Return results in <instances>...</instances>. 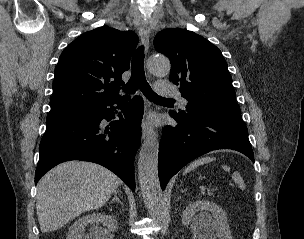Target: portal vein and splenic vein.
<instances>
[{
	"instance_id": "1",
	"label": "portal vein and splenic vein",
	"mask_w": 304,
	"mask_h": 239,
	"mask_svg": "<svg viewBox=\"0 0 304 239\" xmlns=\"http://www.w3.org/2000/svg\"><path fill=\"white\" fill-rule=\"evenodd\" d=\"M208 194H209V195H212L213 193H212V192H208Z\"/></svg>"
}]
</instances>
